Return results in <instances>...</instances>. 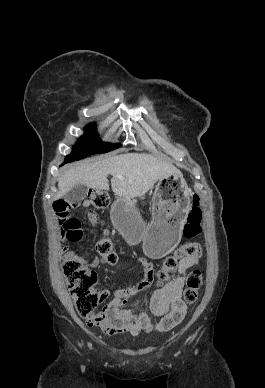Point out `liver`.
<instances>
[{"label":"liver","instance_id":"liver-1","mask_svg":"<svg viewBox=\"0 0 265 388\" xmlns=\"http://www.w3.org/2000/svg\"><path fill=\"white\" fill-rule=\"evenodd\" d=\"M108 174L113 176L111 188L120 198L144 196L158 180L167 176L182 178L180 170L175 166L151 154H120L106 158H89L76 164L58 178L59 192L54 200L68 194L77 184H83L93 190H109ZM117 176H123L125 180H120Z\"/></svg>","mask_w":265,"mask_h":388}]
</instances>
